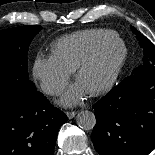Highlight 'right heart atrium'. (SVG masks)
<instances>
[{
    "mask_svg": "<svg viewBox=\"0 0 155 155\" xmlns=\"http://www.w3.org/2000/svg\"><path fill=\"white\" fill-rule=\"evenodd\" d=\"M33 74L39 81L42 90L51 96L61 94L70 78V72L58 64L51 55L36 57L33 64Z\"/></svg>",
    "mask_w": 155,
    "mask_h": 155,
    "instance_id": "obj_1",
    "label": "right heart atrium"
}]
</instances>
